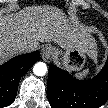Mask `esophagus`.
Listing matches in <instances>:
<instances>
[{"label": "esophagus", "instance_id": "1", "mask_svg": "<svg viewBox=\"0 0 108 108\" xmlns=\"http://www.w3.org/2000/svg\"><path fill=\"white\" fill-rule=\"evenodd\" d=\"M55 53L56 50L52 46H45L44 48H42V52H41L42 58L45 61H50L54 57Z\"/></svg>", "mask_w": 108, "mask_h": 108}]
</instances>
